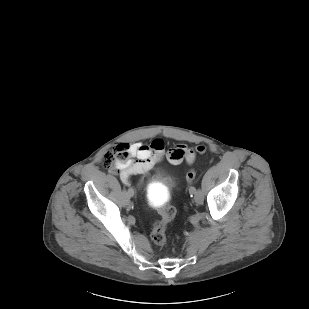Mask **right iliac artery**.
I'll use <instances>...</instances> for the list:
<instances>
[{
    "label": "right iliac artery",
    "instance_id": "obj_1",
    "mask_svg": "<svg viewBox=\"0 0 309 309\" xmlns=\"http://www.w3.org/2000/svg\"><path fill=\"white\" fill-rule=\"evenodd\" d=\"M127 195H134V186L132 184L128 185Z\"/></svg>",
    "mask_w": 309,
    "mask_h": 309
}]
</instances>
